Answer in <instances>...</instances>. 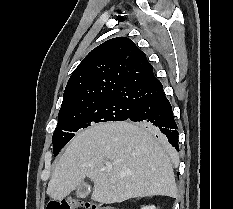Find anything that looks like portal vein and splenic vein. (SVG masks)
<instances>
[{
    "instance_id": "18ae733b",
    "label": "portal vein and splenic vein",
    "mask_w": 233,
    "mask_h": 209,
    "mask_svg": "<svg viewBox=\"0 0 233 209\" xmlns=\"http://www.w3.org/2000/svg\"><path fill=\"white\" fill-rule=\"evenodd\" d=\"M107 167H108V168H111L112 166H111V164H107Z\"/></svg>"
}]
</instances>
